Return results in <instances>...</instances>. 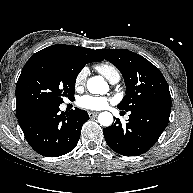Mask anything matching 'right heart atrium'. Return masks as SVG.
Segmentation results:
<instances>
[{
	"instance_id": "obj_1",
	"label": "right heart atrium",
	"mask_w": 193,
	"mask_h": 193,
	"mask_svg": "<svg viewBox=\"0 0 193 193\" xmlns=\"http://www.w3.org/2000/svg\"><path fill=\"white\" fill-rule=\"evenodd\" d=\"M87 75H88L87 68H82L79 70V72L77 73V75L75 77V81H74L75 86L77 88H81L85 84Z\"/></svg>"
}]
</instances>
